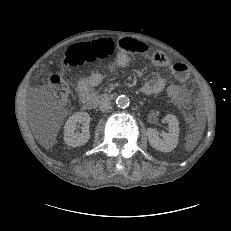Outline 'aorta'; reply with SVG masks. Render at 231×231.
<instances>
[{
  "label": "aorta",
  "instance_id": "aorta-1",
  "mask_svg": "<svg viewBox=\"0 0 231 231\" xmlns=\"http://www.w3.org/2000/svg\"><path fill=\"white\" fill-rule=\"evenodd\" d=\"M116 104L120 108H126L130 104V100L126 95H120L116 99Z\"/></svg>",
  "mask_w": 231,
  "mask_h": 231
}]
</instances>
